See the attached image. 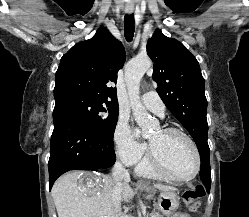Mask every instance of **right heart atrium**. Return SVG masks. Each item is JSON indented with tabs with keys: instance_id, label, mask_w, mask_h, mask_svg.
Here are the masks:
<instances>
[{
	"instance_id": "obj_1",
	"label": "right heart atrium",
	"mask_w": 249,
	"mask_h": 217,
	"mask_svg": "<svg viewBox=\"0 0 249 217\" xmlns=\"http://www.w3.org/2000/svg\"><path fill=\"white\" fill-rule=\"evenodd\" d=\"M113 142L116 153L126 165L136 164L143 156L146 146L135 140L128 121L121 117L114 130Z\"/></svg>"
}]
</instances>
